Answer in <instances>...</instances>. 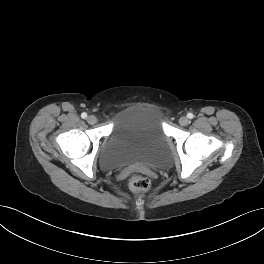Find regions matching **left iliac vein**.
<instances>
[{"instance_id":"1","label":"left iliac vein","mask_w":264,"mask_h":264,"mask_svg":"<svg viewBox=\"0 0 264 264\" xmlns=\"http://www.w3.org/2000/svg\"><path fill=\"white\" fill-rule=\"evenodd\" d=\"M179 123L182 125V126H187L189 124V119L185 116L181 117L179 119Z\"/></svg>"}]
</instances>
